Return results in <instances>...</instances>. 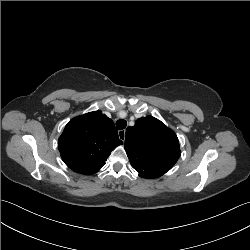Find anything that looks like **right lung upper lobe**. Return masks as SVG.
Here are the masks:
<instances>
[{
	"label": "right lung upper lobe",
	"mask_w": 250,
	"mask_h": 250,
	"mask_svg": "<svg viewBox=\"0 0 250 250\" xmlns=\"http://www.w3.org/2000/svg\"><path fill=\"white\" fill-rule=\"evenodd\" d=\"M121 144L113 121L101 111H94L67 123L58 148L69 168L91 175L104 166L111 151Z\"/></svg>",
	"instance_id": "obj_1"
}]
</instances>
